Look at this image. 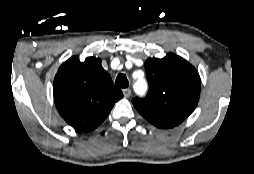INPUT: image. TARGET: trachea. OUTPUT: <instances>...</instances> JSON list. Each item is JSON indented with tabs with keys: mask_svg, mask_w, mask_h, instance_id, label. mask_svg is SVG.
I'll use <instances>...</instances> for the list:
<instances>
[{
	"mask_svg": "<svg viewBox=\"0 0 254 174\" xmlns=\"http://www.w3.org/2000/svg\"><path fill=\"white\" fill-rule=\"evenodd\" d=\"M115 86L120 88H127L129 86V81L125 74H118L116 80H115Z\"/></svg>",
	"mask_w": 254,
	"mask_h": 174,
	"instance_id": "3493384b",
	"label": "trachea"
}]
</instances>
